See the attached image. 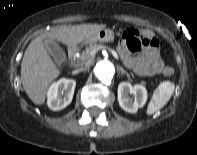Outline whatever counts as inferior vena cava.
Instances as JSON below:
<instances>
[{"label":"inferior vena cava","mask_w":197,"mask_h":155,"mask_svg":"<svg viewBox=\"0 0 197 155\" xmlns=\"http://www.w3.org/2000/svg\"><path fill=\"white\" fill-rule=\"evenodd\" d=\"M85 69V67H81L80 69H77V72L83 71Z\"/></svg>","instance_id":"602c4592"}]
</instances>
